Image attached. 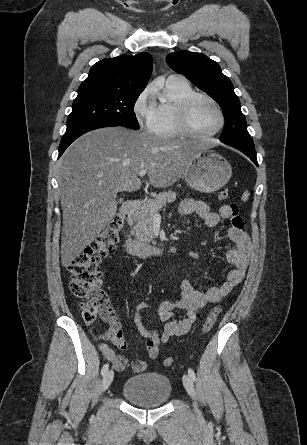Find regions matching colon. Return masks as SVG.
Masks as SVG:
<instances>
[{
    "label": "colon",
    "mask_w": 307,
    "mask_h": 445,
    "mask_svg": "<svg viewBox=\"0 0 307 445\" xmlns=\"http://www.w3.org/2000/svg\"><path fill=\"white\" fill-rule=\"evenodd\" d=\"M228 196L229 190L223 188L220 190L218 198L226 200ZM229 207L231 210V226L236 229H243L244 221L239 215L238 206L232 203ZM123 225L124 217L120 214L116 215L84 252L73 258L67 266L71 276L70 290L76 297L82 299L81 309L84 321L92 323L96 319H101L110 323L108 339L116 346L123 345L125 341L117 315L111 307L107 295L100 288L103 282L100 266L102 259L115 250ZM220 312V306L211 309L203 324V333H208L212 329ZM173 362L172 357H166L163 364L170 367Z\"/></svg>",
    "instance_id": "obj_1"
}]
</instances>
